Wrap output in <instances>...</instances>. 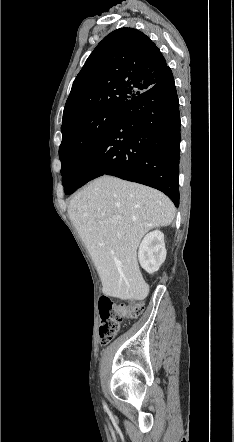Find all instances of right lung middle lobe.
<instances>
[{"label": "right lung middle lobe", "instance_id": "1", "mask_svg": "<svg viewBox=\"0 0 234 442\" xmlns=\"http://www.w3.org/2000/svg\"><path fill=\"white\" fill-rule=\"evenodd\" d=\"M120 109L121 107L105 108L89 113L61 129L63 137L59 156L64 190L72 181L70 171L75 163L105 136Z\"/></svg>", "mask_w": 234, "mask_h": 442}]
</instances>
